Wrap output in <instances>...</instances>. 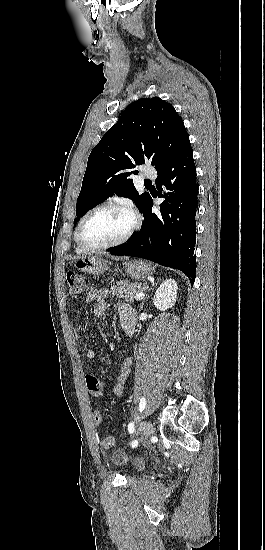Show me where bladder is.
I'll list each match as a JSON object with an SVG mask.
<instances>
[{
	"mask_svg": "<svg viewBox=\"0 0 265 550\" xmlns=\"http://www.w3.org/2000/svg\"><path fill=\"white\" fill-rule=\"evenodd\" d=\"M109 460L115 466L128 465L133 471H140L144 467L143 460L129 457L122 449H114L109 453Z\"/></svg>",
	"mask_w": 265,
	"mask_h": 550,
	"instance_id": "1",
	"label": "bladder"
}]
</instances>
